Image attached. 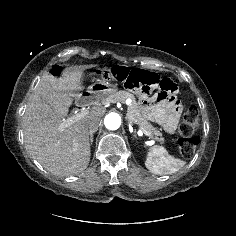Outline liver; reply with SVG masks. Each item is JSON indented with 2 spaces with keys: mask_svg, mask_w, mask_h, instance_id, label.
Wrapping results in <instances>:
<instances>
[{
  "mask_svg": "<svg viewBox=\"0 0 236 236\" xmlns=\"http://www.w3.org/2000/svg\"><path fill=\"white\" fill-rule=\"evenodd\" d=\"M96 65H77L64 69L62 77L46 73L30 96L23 116L26 148L49 172L70 176L85 170L90 161V140L87 121L101 118L105 108L93 107L84 118L61 128L73 99L83 97L84 71ZM99 100V97H94Z\"/></svg>",
  "mask_w": 236,
  "mask_h": 236,
  "instance_id": "obj_1",
  "label": "liver"
}]
</instances>
